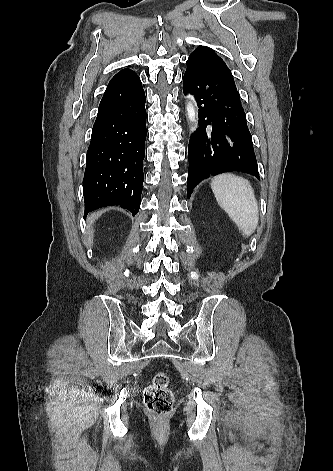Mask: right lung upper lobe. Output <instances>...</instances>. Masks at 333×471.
<instances>
[{
    "label": "right lung upper lobe",
    "instance_id": "obj_1",
    "mask_svg": "<svg viewBox=\"0 0 333 471\" xmlns=\"http://www.w3.org/2000/svg\"><path fill=\"white\" fill-rule=\"evenodd\" d=\"M133 73L134 72L130 69H123L111 79L109 85L125 82L126 79Z\"/></svg>",
    "mask_w": 333,
    "mask_h": 471
}]
</instances>
